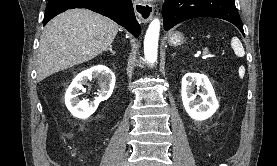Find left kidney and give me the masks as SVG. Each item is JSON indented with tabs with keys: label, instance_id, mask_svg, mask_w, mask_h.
<instances>
[{
	"label": "left kidney",
	"instance_id": "1",
	"mask_svg": "<svg viewBox=\"0 0 277 166\" xmlns=\"http://www.w3.org/2000/svg\"><path fill=\"white\" fill-rule=\"evenodd\" d=\"M195 85L198 90L199 88L202 90L201 93L199 91L197 92L200 96L199 99H196V95L193 94ZM181 96L186 112L196 121L208 119L219 107L214 89L209 79L204 74H185L182 78Z\"/></svg>",
	"mask_w": 277,
	"mask_h": 166
}]
</instances>
